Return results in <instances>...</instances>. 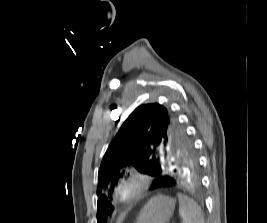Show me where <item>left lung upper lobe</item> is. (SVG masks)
I'll list each match as a JSON object with an SVG mask.
<instances>
[{"instance_id":"obj_1","label":"left lung upper lobe","mask_w":267,"mask_h":223,"mask_svg":"<svg viewBox=\"0 0 267 223\" xmlns=\"http://www.w3.org/2000/svg\"><path fill=\"white\" fill-rule=\"evenodd\" d=\"M128 167L153 177L169 171H199L193 144L170 109L158 103L141 105L122 124L98 173V223L113 211L108 197Z\"/></svg>"}]
</instances>
